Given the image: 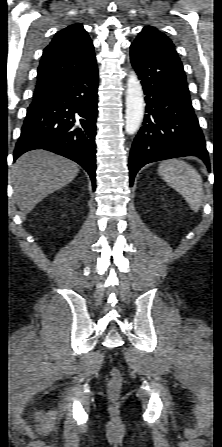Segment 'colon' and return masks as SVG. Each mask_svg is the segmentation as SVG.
Wrapping results in <instances>:
<instances>
[{"label": "colon", "instance_id": "colon-1", "mask_svg": "<svg viewBox=\"0 0 222 447\" xmlns=\"http://www.w3.org/2000/svg\"><path fill=\"white\" fill-rule=\"evenodd\" d=\"M123 385V375L118 369H112L110 378L107 382V392L112 397H117L120 394Z\"/></svg>", "mask_w": 222, "mask_h": 447}]
</instances>
